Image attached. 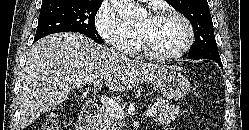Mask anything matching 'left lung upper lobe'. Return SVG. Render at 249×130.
Wrapping results in <instances>:
<instances>
[{
    "mask_svg": "<svg viewBox=\"0 0 249 130\" xmlns=\"http://www.w3.org/2000/svg\"><path fill=\"white\" fill-rule=\"evenodd\" d=\"M192 24L195 42L189 57L220 58L207 0H167Z\"/></svg>",
    "mask_w": 249,
    "mask_h": 130,
    "instance_id": "5c2ea615",
    "label": "left lung upper lobe"
}]
</instances>
